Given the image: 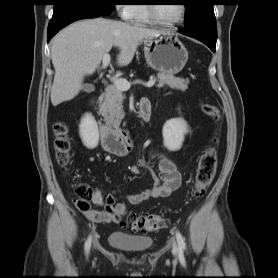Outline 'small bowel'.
<instances>
[{"label": "small bowel", "instance_id": "c3829d8e", "mask_svg": "<svg viewBox=\"0 0 278 278\" xmlns=\"http://www.w3.org/2000/svg\"><path fill=\"white\" fill-rule=\"evenodd\" d=\"M154 156L158 159L157 171H154L145 160L139 161L137 165L130 168L131 173L136 175L140 174L141 169H147L152 175L153 185L140 193L127 195L128 203L138 205L150 199L168 197L180 187L182 178L176 164L163 155ZM91 201L95 206L103 209H92L89 203L76 202V206L88 220L94 223H119L127 212L126 201L119 197L117 191L109 194L104 200L102 191L96 188Z\"/></svg>", "mask_w": 278, "mask_h": 278}]
</instances>
